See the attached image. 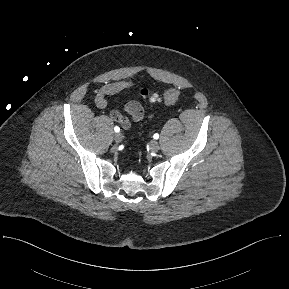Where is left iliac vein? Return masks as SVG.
Listing matches in <instances>:
<instances>
[{
    "label": "left iliac vein",
    "instance_id": "4c4485c4",
    "mask_svg": "<svg viewBox=\"0 0 289 289\" xmlns=\"http://www.w3.org/2000/svg\"><path fill=\"white\" fill-rule=\"evenodd\" d=\"M160 149L159 143L156 140L150 142V150L152 152H157Z\"/></svg>",
    "mask_w": 289,
    "mask_h": 289
}]
</instances>
